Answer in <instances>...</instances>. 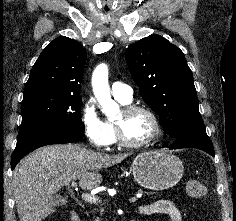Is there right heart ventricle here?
<instances>
[{
  "mask_svg": "<svg viewBox=\"0 0 236 221\" xmlns=\"http://www.w3.org/2000/svg\"><path fill=\"white\" fill-rule=\"evenodd\" d=\"M118 101L120 103L124 104V105L128 104L127 102H123V101H120V100H118ZM106 125H107V128H108L109 133H110V143L116 142L117 138H116L114 122L111 121V120H108V121H106Z\"/></svg>",
  "mask_w": 236,
  "mask_h": 221,
  "instance_id": "1",
  "label": "right heart ventricle"
}]
</instances>
